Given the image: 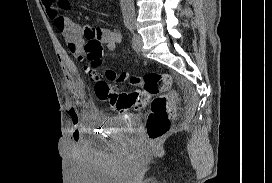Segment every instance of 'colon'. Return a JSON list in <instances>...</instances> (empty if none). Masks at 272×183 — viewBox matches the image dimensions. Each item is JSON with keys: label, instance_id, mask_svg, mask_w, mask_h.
<instances>
[{"label": "colon", "instance_id": "5ec220e1", "mask_svg": "<svg viewBox=\"0 0 272 183\" xmlns=\"http://www.w3.org/2000/svg\"><path fill=\"white\" fill-rule=\"evenodd\" d=\"M103 45L97 41H89L83 49L82 59L85 68L95 83L97 97L118 111L139 109L152 98L151 111L147 118L146 128L150 141L156 142L170 130L172 119L176 113V93L172 90V78L167 73L151 71L143 76L117 75L114 72L101 71ZM128 80L140 89L133 92H121L117 84Z\"/></svg>", "mask_w": 272, "mask_h": 183}]
</instances>
